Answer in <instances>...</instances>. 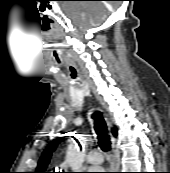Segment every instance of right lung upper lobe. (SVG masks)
<instances>
[{"instance_id": "1", "label": "right lung upper lobe", "mask_w": 170, "mask_h": 173, "mask_svg": "<svg viewBox=\"0 0 170 173\" xmlns=\"http://www.w3.org/2000/svg\"><path fill=\"white\" fill-rule=\"evenodd\" d=\"M112 133L113 135H116V128L113 129ZM58 143H59V139H56L52 143H50L48 147L44 150L38 162L37 170L35 173H47L46 168L49 164L51 154L55 150Z\"/></svg>"}]
</instances>
